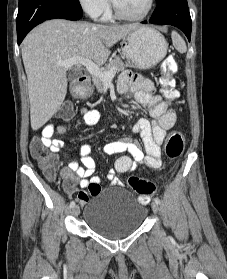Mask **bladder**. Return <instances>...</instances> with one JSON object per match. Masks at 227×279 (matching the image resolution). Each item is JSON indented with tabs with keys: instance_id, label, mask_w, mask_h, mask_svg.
Listing matches in <instances>:
<instances>
[{
	"instance_id": "31cf9c89",
	"label": "bladder",
	"mask_w": 227,
	"mask_h": 279,
	"mask_svg": "<svg viewBox=\"0 0 227 279\" xmlns=\"http://www.w3.org/2000/svg\"><path fill=\"white\" fill-rule=\"evenodd\" d=\"M94 193L85 207V224L96 234L109 239H120L136 231L143 223L147 210L126 188L118 187L114 193Z\"/></svg>"
}]
</instances>
